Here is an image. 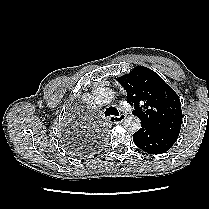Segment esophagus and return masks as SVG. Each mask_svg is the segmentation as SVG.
I'll list each match as a JSON object with an SVG mask.
<instances>
[{
  "label": "esophagus",
  "instance_id": "34e87169",
  "mask_svg": "<svg viewBox=\"0 0 209 209\" xmlns=\"http://www.w3.org/2000/svg\"><path fill=\"white\" fill-rule=\"evenodd\" d=\"M126 118V114L121 113L119 116H111L109 117V121L112 123H120Z\"/></svg>",
  "mask_w": 209,
  "mask_h": 209
}]
</instances>
